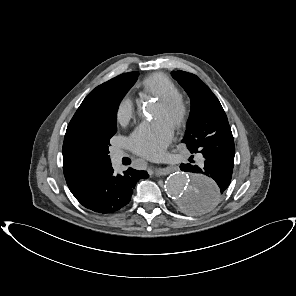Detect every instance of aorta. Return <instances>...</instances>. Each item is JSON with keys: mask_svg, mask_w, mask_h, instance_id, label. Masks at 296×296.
I'll return each instance as SVG.
<instances>
[{"mask_svg": "<svg viewBox=\"0 0 296 296\" xmlns=\"http://www.w3.org/2000/svg\"><path fill=\"white\" fill-rule=\"evenodd\" d=\"M165 191L183 212L203 214L210 211L218 199L216 182L203 175L185 172L170 174L165 181Z\"/></svg>", "mask_w": 296, "mask_h": 296, "instance_id": "1", "label": "aorta"}]
</instances>
